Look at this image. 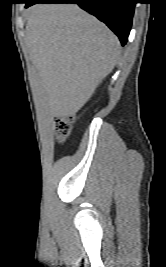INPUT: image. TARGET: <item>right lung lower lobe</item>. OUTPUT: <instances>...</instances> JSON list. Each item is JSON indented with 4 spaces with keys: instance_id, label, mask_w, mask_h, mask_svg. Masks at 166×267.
Instances as JSON below:
<instances>
[{
    "instance_id": "98d812e1",
    "label": "right lung lower lobe",
    "mask_w": 166,
    "mask_h": 267,
    "mask_svg": "<svg viewBox=\"0 0 166 267\" xmlns=\"http://www.w3.org/2000/svg\"><path fill=\"white\" fill-rule=\"evenodd\" d=\"M26 8L36 3H76L104 22L120 39L128 40L136 0H26Z\"/></svg>"
}]
</instances>
